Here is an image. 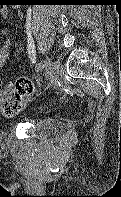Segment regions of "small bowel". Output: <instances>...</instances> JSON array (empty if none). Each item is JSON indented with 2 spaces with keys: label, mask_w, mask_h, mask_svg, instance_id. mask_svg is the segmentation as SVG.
<instances>
[{
  "label": "small bowel",
  "mask_w": 121,
  "mask_h": 197,
  "mask_svg": "<svg viewBox=\"0 0 121 197\" xmlns=\"http://www.w3.org/2000/svg\"><path fill=\"white\" fill-rule=\"evenodd\" d=\"M8 11L6 8L1 7L0 8V16L1 17H5L7 16ZM2 34L6 37V40L2 46V48L0 49V66H4L6 65L9 60H10V48H11V40L8 37V32L5 29L1 30Z\"/></svg>",
  "instance_id": "small-bowel-1"
}]
</instances>
